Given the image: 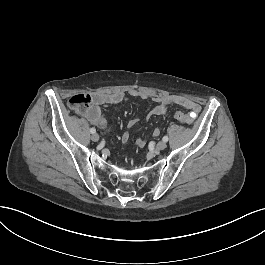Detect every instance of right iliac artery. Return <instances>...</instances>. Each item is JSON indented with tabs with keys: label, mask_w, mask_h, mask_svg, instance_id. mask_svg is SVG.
I'll return each mask as SVG.
<instances>
[{
	"label": "right iliac artery",
	"mask_w": 265,
	"mask_h": 265,
	"mask_svg": "<svg viewBox=\"0 0 265 265\" xmlns=\"http://www.w3.org/2000/svg\"><path fill=\"white\" fill-rule=\"evenodd\" d=\"M90 132H91L92 134H94V133L96 132V129H95V128H91V129H90Z\"/></svg>",
	"instance_id": "1"
}]
</instances>
